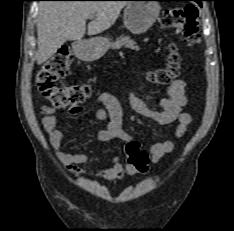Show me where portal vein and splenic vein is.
<instances>
[{
    "label": "portal vein and splenic vein",
    "instance_id": "1",
    "mask_svg": "<svg viewBox=\"0 0 234 231\" xmlns=\"http://www.w3.org/2000/svg\"><path fill=\"white\" fill-rule=\"evenodd\" d=\"M95 17V15L94 14H91L90 16H89V18H94Z\"/></svg>",
    "mask_w": 234,
    "mask_h": 231
}]
</instances>
